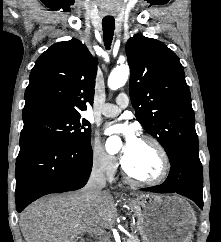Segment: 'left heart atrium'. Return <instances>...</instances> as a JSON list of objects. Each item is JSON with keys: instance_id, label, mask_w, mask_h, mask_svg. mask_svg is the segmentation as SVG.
I'll return each mask as SVG.
<instances>
[{"instance_id": "1", "label": "left heart atrium", "mask_w": 221, "mask_h": 242, "mask_svg": "<svg viewBox=\"0 0 221 242\" xmlns=\"http://www.w3.org/2000/svg\"><path fill=\"white\" fill-rule=\"evenodd\" d=\"M105 134L107 135H119L122 137L123 146L121 151V156L124 159L136 146L139 139L135 134V130L132 125L128 123H114L109 125Z\"/></svg>"}]
</instances>
